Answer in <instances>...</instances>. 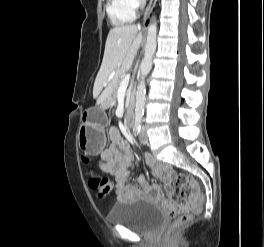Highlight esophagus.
I'll list each match as a JSON object with an SVG mask.
<instances>
[{
	"label": "esophagus",
	"mask_w": 264,
	"mask_h": 247,
	"mask_svg": "<svg viewBox=\"0 0 264 247\" xmlns=\"http://www.w3.org/2000/svg\"><path fill=\"white\" fill-rule=\"evenodd\" d=\"M156 1H157V0H150L149 5H148V7H147V9H146V12H145V18H146V16L150 13V11L153 9V7H154Z\"/></svg>",
	"instance_id": "esophagus-1"
}]
</instances>
